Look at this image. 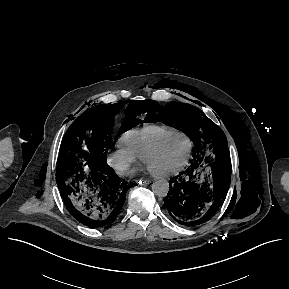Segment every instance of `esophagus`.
<instances>
[{"label": "esophagus", "mask_w": 289, "mask_h": 289, "mask_svg": "<svg viewBox=\"0 0 289 289\" xmlns=\"http://www.w3.org/2000/svg\"><path fill=\"white\" fill-rule=\"evenodd\" d=\"M138 183L146 186V185L150 184V180L141 179V180L138 181Z\"/></svg>", "instance_id": "esophagus-1"}]
</instances>
